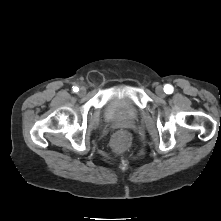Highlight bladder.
Segmentation results:
<instances>
[{"mask_svg":"<svg viewBox=\"0 0 221 221\" xmlns=\"http://www.w3.org/2000/svg\"><path fill=\"white\" fill-rule=\"evenodd\" d=\"M137 115V108L126 97H113L104 109V117L108 120L134 119Z\"/></svg>","mask_w":221,"mask_h":221,"instance_id":"obj_1","label":"bladder"}]
</instances>
